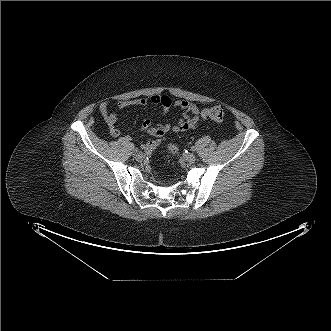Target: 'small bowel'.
Masks as SVG:
<instances>
[{"label":"small bowel","instance_id":"obj_1","mask_svg":"<svg viewBox=\"0 0 331 331\" xmlns=\"http://www.w3.org/2000/svg\"><path fill=\"white\" fill-rule=\"evenodd\" d=\"M149 104L160 106L165 115H167L172 108H175L182 112V116L175 122L165 121L160 124H155L150 119L143 120L142 129L154 137V139L141 142L142 148L148 152L155 150L161 144L167 132L172 131L174 133H180L194 129L198 126L200 117H203L202 111H200L199 107L194 102L188 100L172 101L171 98L165 95L119 100L116 103L119 109L132 106L144 107ZM99 111L109 127L110 134L113 137H118L120 131L117 128V114L109 112V104L107 102H103L99 105ZM125 139L130 140V136L127 135Z\"/></svg>","mask_w":331,"mask_h":331}]
</instances>
